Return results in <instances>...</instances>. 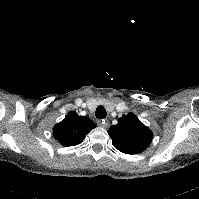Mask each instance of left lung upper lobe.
Here are the masks:
<instances>
[{
	"instance_id": "5c2ea615",
	"label": "left lung upper lobe",
	"mask_w": 199,
	"mask_h": 199,
	"mask_svg": "<svg viewBox=\"0 0 199 199\" xmlns=\"http://www.w3.org/2000/svg\"><path fill=\"white\" fill-rule=\"evenodd\" d=\"M116 149L126 154L143 152L151 143L153 133L134 113L119 118L117 125L108 131Z\"/></svg>"
}]
</instances>
